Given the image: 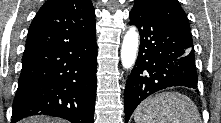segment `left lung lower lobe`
I'll return each instance as SVG.
<instances>
[{
	"mask_svg": "<svg viewBox=\"0 0 221 123\" xmlns=\"http://www.w3.org/2000/svg\"><path fill=\"white\" fill-rule=\"evenodd\" d=\"M140 33L139 55L124 92L125 122L149 95L172 86L197 88L190 33L159 20L139 4L129 13Z\"/></svg>",
	"mask_w": 221,
	"mask_h": 123,
	"instance_id": "0a47b994",
	"label": "left lung lower lobe"
}]
</instances>
